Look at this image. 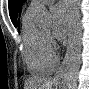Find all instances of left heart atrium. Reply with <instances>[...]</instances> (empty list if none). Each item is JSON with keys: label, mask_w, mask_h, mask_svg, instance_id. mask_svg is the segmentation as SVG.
<instances>
[{"label": "left heart atrium", "mask_w": 89, "mask_h": 89, "mask_svg": "<svg viewBox=\"0 0 89 89\" xmlns=\"http://www.w3.org/2000/svg\"><path fill=\"white\" fill-rule=\"evenodd\" d=\"M52 35L56 40H62L67 32L68 17L64 8L57 5L52 8Z\"/></svg>", "instance_id": "left-heart-atrium-1"}]
</instances>
